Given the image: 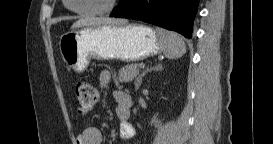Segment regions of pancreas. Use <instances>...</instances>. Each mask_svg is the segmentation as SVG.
I'll list each match as a JSON object with an SVG mask.
<instances>
[{
  "label": "pancreas",
  "instance_id": "obj_1",
  "mask_svg": "<svg viewBox=\"0 0 273 144\" xmlns=\"http://www.w3.org/2000/svg\"><path fill=\"white\" fill-rule=\"evenodd\" d=\"M139 74V64H127L119 70L118 79L121 83L131 82Z\"/></svg>",
  "mask_w": 273,
  "mask_h": 144
}]
</instances>
